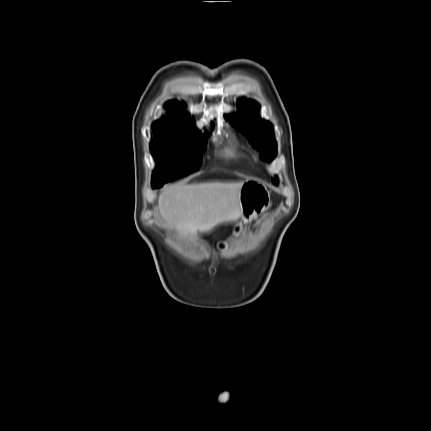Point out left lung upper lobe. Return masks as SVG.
<instances>
[{
	"instance_id": "1",
	"label": "left lung upper lobe",
	"mask_w": 431,
	"mask_h": 431,
	"mask_svg": "<svg viewBox=\"0 0 431 431\" xmlns=\"http://www.w3.org/2000/svg\"><path fill=\"white\" fill-rule=\"evenodd\" d=\"M256 111L257 105L254 102L246 101L242 104L234 122L238 124V129L247 136L251 144L261 151V158L269 162L276 154V143L271 132L272 126L259 118ZM273 182L275 183V180Z\"/></svg>"
}]
</instances>
